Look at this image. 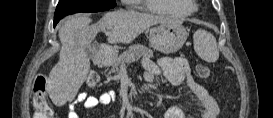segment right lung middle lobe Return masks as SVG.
I'll return each mask as SVG.
<instances>
[{
    "instance_id": "obj_1",
    "label": "right lung middle lobe",
    "mask_w": 273,
    "mask_h": 118,
    "mask_svg": "<svg viewBox=\"0 0 273 118\" xmlns=\"http://www.w3.org/2000/svg\"><path fill=\"white\" fill-rule=\"evenodd\" d=\"M115 6V0H60L55 13L100 12Z\"/></svg>"
}]
</instances>
